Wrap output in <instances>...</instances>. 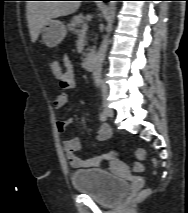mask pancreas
Listing matches in <instances>:
<instances>
[{"instance_id":"1","label":"pancreas","mask_w":188,"mask_h":213,"mask_svg":"<svg viewBox=\"0 0 188 213\" xmlns=\"http://www.w3.org/2000/svg\"><path fill=\"white\" fill-rule=\"evenodd\" d=\"M84 24H86L84 17L82 15H77L71 19L67 27L71 33L78 35L81 32L80 27Z\"/></svg>"}]
</instances>
